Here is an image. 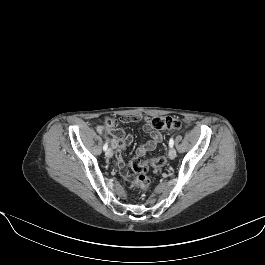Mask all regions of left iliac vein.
Wrapping results in <instances>:
<instances>
[{
  "label": "left iliac vein",
  "instance_id": "4c4485c4",
  "mask_svg": "<svg viewBox=\"0 0 265 265\" xmlns=\"http://www.w3.org/2000/svg\"><path fill=\"white\" fill-rule=\"evenodd\" d=\"M168 156L170 159H174L176 157V150L174 148H170L168 152Z\"/></svg>",
  "mask_w": 265,
  "mask_h": 265
}]
</instances>
